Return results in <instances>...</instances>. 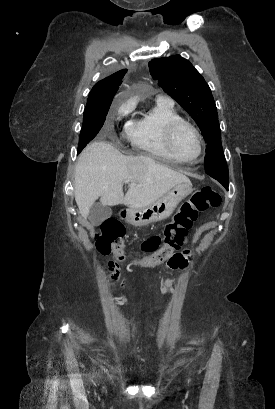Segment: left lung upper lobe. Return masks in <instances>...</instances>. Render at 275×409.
Wrapping results in <instances>:
<instances>
[{"mask_svg":"<svg viewBox=\"0 0 275 409\" xmlns=\"http://www.w3.org/2000/svg\"><path fill=\"white\" fill-rule=\"evenodd\" d=\"M153 79L195 120L207 142L205 171L215 179L229 182L221 144V130L211 90L192 64L180 55L155 58L149 62Z\"/></svg>","mask_w":275,"mask_h":409,"instance_id":"obj_1","label":"left lung upper lobe"}]
</instances>
